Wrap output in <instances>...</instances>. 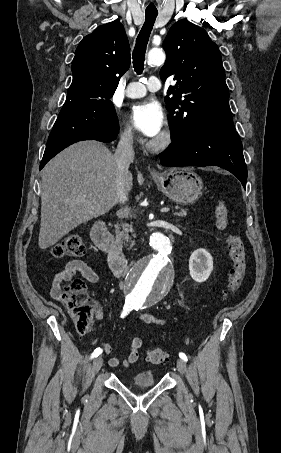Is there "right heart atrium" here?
<instances>
[{"instance_id": "1", "label": "right heart atrium", "mask_w": 281, "mask_h": 453, "mask_svg": "<svg viewBox=\"0 0 281 453\" xmlns=\"http://www.w3.org/2000/svg\"><path fill=\"white\" fill-rule=\"evenodd\" d=\"M136 136V131L131 124L126 122L120 124L119 137L124 144H131L135 140Z\"/></svg>"}]
</instances>
